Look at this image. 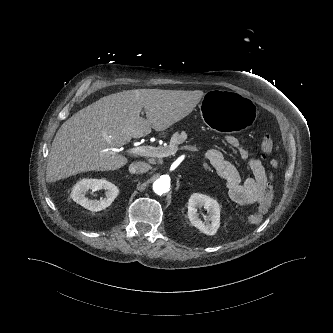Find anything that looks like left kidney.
I'll list each match as a JSON object with an SVG mask.
<instances>
[{"mask_svg": "<svg viewBox=\"0 0 333 333\" xmlns=\"http://www.w3.org/2000/svg\"><path fill=\"white\" fill-rule=\"evenodd\" d=\"M202 206L209 212V217L204 222L201 221L197 213V208H201ZM188 218L191 224L201 232L206 235H215L220 226L219 204L207 195L194 193L188 201Z\"/></svg>", "mask_w": 333, "mask_h": 333, "instance_id": "5707ae66", "label": "left kidney"}]
</instances>
